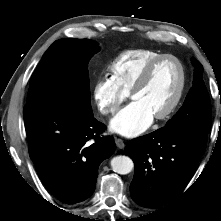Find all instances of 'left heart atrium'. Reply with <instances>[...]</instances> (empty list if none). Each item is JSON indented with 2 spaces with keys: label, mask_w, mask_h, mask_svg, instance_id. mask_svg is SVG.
I'll return each instance as SVG.
<instances>
[{
  "label": "left heart atrium",
  "mask_w": 221,
  "mask_h": 221,
  "mask_svg": "<svg viewBox=\"0 0 221 221\" xmlns=\"http://www.w3.org/2000/svg\"><path fill=\"white\" fill-rule=\"evenodd\" d=\"M152 121L153 115L139 102L133 101L112 119L110 127L123 136L134 137L144 132Z\"/></svg>",
  "instance_id": "obj_1"
}]
</instances>
